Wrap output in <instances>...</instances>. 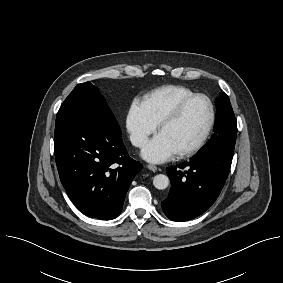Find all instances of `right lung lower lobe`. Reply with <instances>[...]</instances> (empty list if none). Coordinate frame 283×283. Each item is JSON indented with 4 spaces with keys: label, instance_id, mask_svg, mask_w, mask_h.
<instances>
[{
    "label": "right lung lower lobe",
    "instance_id": "right-lung-lower-lobe-1",
    "mask_svg": "<svg viewBox=\"0 0 283 283\" xmlns=\"http://www.w3.org/2000/svg\"><path fill=\"white\" fill-rule=\"evenodd\" d=\"M54 152L74 205L89 217L116 218L142 165L129 157L111 111H85L56 123Z\"/></svg>",
    "mask_w": 283,
    "mask_h": 283
}]
</instances>
